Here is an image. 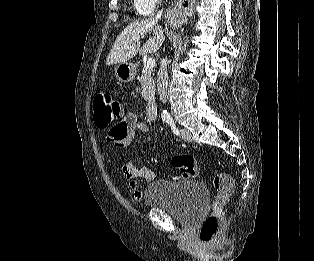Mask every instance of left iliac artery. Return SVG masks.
I'll return each mask as SVG.
<instances>
[{
  "label": "left iliac artery",
  "instance_id": "1",
  "mask_svg": "<svg viewBox=\"0 0 314 261\" xmlns=\"http://www.w3.org/2000/svg\"><path fill=\"white\" fill-rule=\"evenodd\" d=\"M166 122L170 125L171 129H172V132L175 134V135H180V131L178 130V128L175 126V123L173 121L172 118H168L166 120Z\"/></svg>",
  "mask_w": 314,
  "mask_h": 261
}]
</instances>
